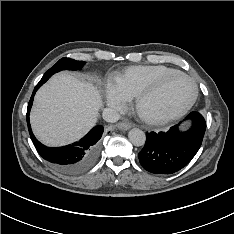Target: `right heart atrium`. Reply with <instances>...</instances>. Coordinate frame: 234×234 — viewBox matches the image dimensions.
I'll return each mask as SVG.
<instances>
[{
    "label": "right heart atrium",
    "mask_w": 234,
    "mask_h": 234,
    "mask_svg": "<svg viewBox=\"0 0 234 234\" xmlns=\"http://www.w3.org/2000/svg\"><path fill=\"white\" fill-rule=\"evenodd\" d=\"M107 102L116 109L122 110L126 107L128 100L118 90L116 84L108 83L106 87Z\"/></svg>",
    "instance_id": "right-heart-atrium-1"
}]
</instances>
